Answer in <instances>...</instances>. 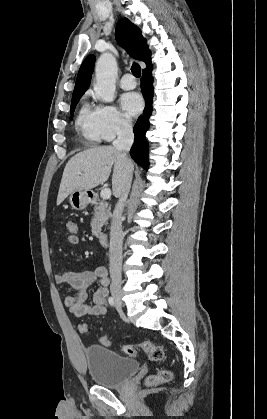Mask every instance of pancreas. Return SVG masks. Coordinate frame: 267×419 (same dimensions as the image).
I'll list each match as a JSON object with an SVG mask.
<instances>
[{
  "mask_svg": "<svg viewBox=\"0 0 267 419\" xmlns=\"http://www.w3.org/2000/svg\"><path fill=\"white\" fill-rule=\"evenodd\" d=\"M94 217L91 222L92 233L96 237L99 236L101 228L105 225L111 216L110 208L106 203L100 201L94 208Z\"/></svg>",
  "mask_w": 267,
  "mask_h": 419,
  "instance_id": "obj_1",
  "label": "pancreas"
}]
</instances>
